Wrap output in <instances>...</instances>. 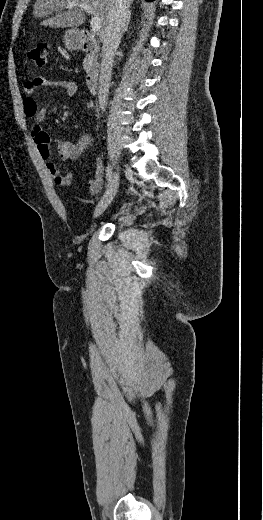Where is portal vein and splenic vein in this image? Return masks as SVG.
Instances as JSON below:
<instances>
[{"label":"portal vein and splenic vein","mask_w":263,"mask_h":520,"mask_svg":"<svg viewBox=\"0 0 263 520\" xmlns=\"http://www.w3.org/2000/svg\"><path fill=\"white\" fill-rule=\"evenodd\" d=\"M79 5L82 9H84L88 14H91L92 15V18H91V28H92V32L93 33H97L100 28H101V21L98 17H96L94 14H93V9L88 6V5H85V4H77L75 2H69L68 3V6L69 7H74V6H77Z\"/></svg>","instance_id":"obj_1"}]
</instances>
